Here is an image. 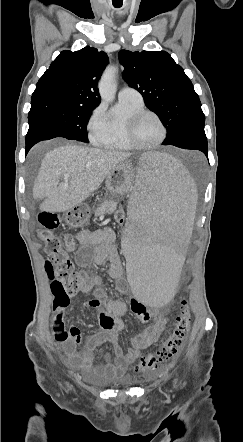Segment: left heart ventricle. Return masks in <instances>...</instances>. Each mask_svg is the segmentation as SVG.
<instances>
[{
    "mask_svg": "<svg viewBox=\"0 0 243 442\" xmlns=\"http://www.w3.org/2000/svg\"><path fill=\"white\" fill-rule=\"evenodd\" d=\"M162 135V128L151 115L144 116L137 124L135 136L138 142L146 145L157 142Z\"/></svg>",
    "mask_w": 243,
    "mask_h": 442,
    "instance_id": "left-heart-ventricle-1",
    "label": "left heart ventricle"
}]
</instances>
